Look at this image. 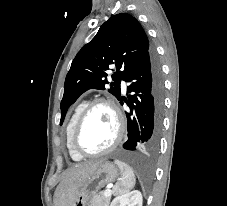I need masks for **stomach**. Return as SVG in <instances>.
<instances>
[{
  "label": "stomach",
  "instance_id": "1",
  "mask_svg": "<svg viewBox=\"0 0 227 206\" xmlns=\"http://www.w3.org/2000/svg\"><path fill=\"white\" fill-rule=\"evenodd\" d=\"M119 175V170L113 163L102 161L94 173L80 187L72 206H87L91 196L96 194L100 188L114 182Z\"/></svg>",
  "mask_w": 227,
  "mask_h": 206
}]
</instances>
